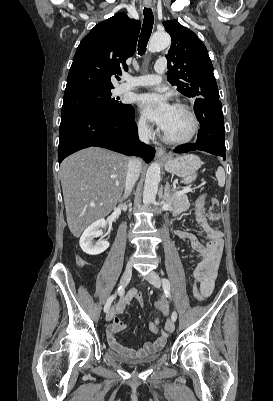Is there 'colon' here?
<instances>
[{
  "label": "colon",
  "mask_w": 273,
  "mask_h": 401,
  "mask_svg": "<svg viewBox=\"0 0 273 401\" xmlns=\"http://www.w3.org/2000/svg\"><path fill=\"white\" fill-rule=\"evenodd\" d=\"M217 203H218V201H217V199L216 198H213L212 199V205H213V207L212 208H215L216 206H217ZM200 279H203V276H200ZM144 296H145V293L144 292H141V293H139V294H137L136 295V300H137V305L139 306V307H144L145 306V298H144Z\"/></svg>",
  "instance_id": "colon-1"
}]
</instances>
